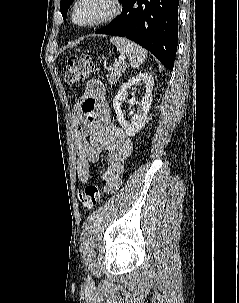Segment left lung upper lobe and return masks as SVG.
Segmentation results:
<instances>
[{"label":"left lung upper lobe","mask_w":239,"mask_h":303,"mask_svg":"<svg viewBox=\"0 0 239 303\" xmlns=\"http://www.w3.org/2000/svg\"><path fill=\"white\" fill-rule=\"evenodd\" d=\"M73 1L74 0H61L60 12L62 13L64 20L66 19V16H67V10ZM121 1L123 3L124 0H121Z\"/></svg>","instance_id":"left-lung-upper-lobe-1"}]
</instances>
